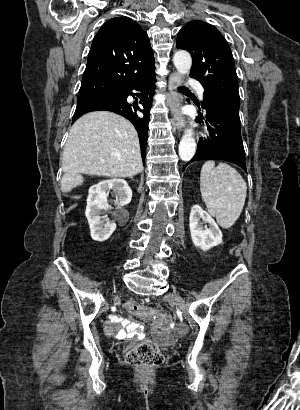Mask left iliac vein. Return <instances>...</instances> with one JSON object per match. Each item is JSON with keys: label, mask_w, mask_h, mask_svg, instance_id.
Masks as SVG:
<instances>
[{"label": "left iliac vein", "mask_w": 300, "mask_h": 410, "mask_svg": "<svg viewBox=\"0 0 300 410\" xmlns=\"http://www.w3.org/2000/svg\"><path fill=\"white\" fill-rule=\"evenodd\" d=\"M164 298L169 302L176 303L180 307H183L185 305L184 299L175 292L168 293Z\"/></svg>", "instance_id": "4c4485c4"}]
</instances>
